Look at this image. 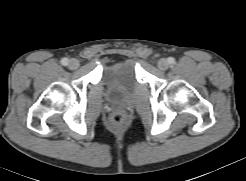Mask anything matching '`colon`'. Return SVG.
<instances>
[{
	"mask_svg": "<svg viewBox=\"0 0 246 181\" xmlns=\"http://www.w3.org/2000/svg\"><path fill=\"white\" fill-rule=\"evenodd\" d=\"M110 123L115 129H121L126 124V117L120 112L114 113L111 116Z\"/></svg>",
	"mask_w": 246,
	"mask_h": 181,
	"instance_id": "colon-1",
	"label": "colon"
}]
</instances>
